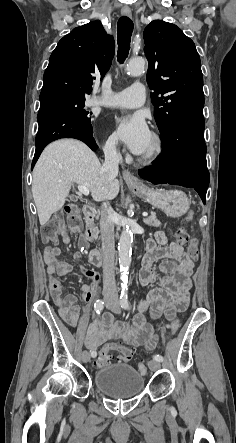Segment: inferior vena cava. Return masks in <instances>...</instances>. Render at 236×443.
<instances>
[{
	"instance_id": "1",
	"label": "inferior vena cava",
	"mask_w": 236,
	"mask_h": 443,
	"mask_svg": "<svg viewBox=\"0 0 236 443\" xmlns=\"http://www.w3.org/2000/svg\"><path fill=\"white\" fill-rule=\"evenodd\" d=\"M117 138H110L104 148L105 161L100 169V174L106 182H111L118 175V166L122 156L117 152ZM101 240L103 257V295L105 303L118 304V292L114 275V222L113 209L108 202L101 206Z\"/></svg>"
}]
</instances>
